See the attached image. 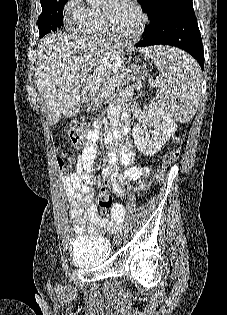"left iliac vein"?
Masks as SVG:
<instances>
[{
	"label": "left iliac vein",
	"instance_id": "left-iliac-vein-1",
	"mask_svg": "<svg viewBox=\"0 0 227 315\" xmlns=\"http://www.w3.org/2000/svg\"><path fill=\"white\" fill-rule=\"evenodd\" d=\"M121 238H122L121 234H118V235L116 236V238H115V242H116V243H120Z\"/></svg>",
	"mask_w": 227,
	"mask_h": 315
}]
</instances>
